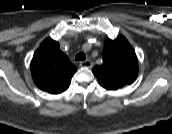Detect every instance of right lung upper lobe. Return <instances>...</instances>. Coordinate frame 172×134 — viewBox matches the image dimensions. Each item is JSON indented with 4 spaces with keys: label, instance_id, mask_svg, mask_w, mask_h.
Here are the masks:
<instances>
[{
    "label": "right lung upper lobe",
    "instance_id": "right-lung-upper-lobe-1",
    "mask_svg": "<svg viewBox=\"0 0 172 134\" xmlns=\"http://www.w3.org/2000/svg\"><path fill=\"white\" fill-rule=\"evenodd\" d=\"M77 68L59 47V43L46 38L35 51L31 61L34 83L50 94H59L68 89Z\"/></svg>",
    "mask_w": 172,
    "mask_h": 134
}]
</instances>
